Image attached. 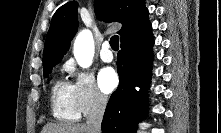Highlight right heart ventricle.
<instances>
[{"instance_id":"1","label":"right heart ventricle","mask_w":221,"mask_h":133,"mask_svg":"<svg viewBox=\"0 0 221 133\" xmlns=\"http://www.w3.org/2000/svg\"><path fill=\"white\" fill-rule=\"evenodd\" d=\"M51 109L54 117L63 122H75L80 118L73 86L63 80H57L50 95Z\"/></svg>"}]
</instances>
